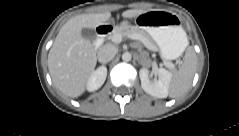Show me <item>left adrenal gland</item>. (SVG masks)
Wrapping results in <instances>:
<instances>
[{
	"instance_id": "left-adrenal-gland-1",
	"label": "left adrenal gland",
	"mask_w": 239,
	"mask_h": 136,
	"mask_svg": "<svg viewBox=\"0 0 239 136\" xmlns=\"http://www.w3.org/2000/svg\"><path fill=\"white\" fill-rule=\"evenodd\" d=\"M138 62L142 64V59H141V58H139V59H138Z\"/></svg>"
}]
</instances>
